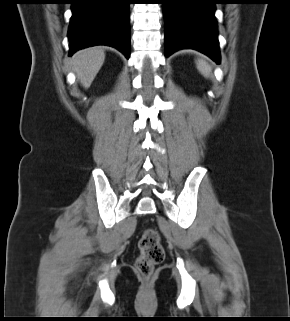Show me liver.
<instances>
[{"label": "liver", "mask_w": 290, "mask_h": 321, "mask_svg": "<svg viewBox=\"0 0 290 321\" xmlns=\"http://www.w3.org/2000/svg\"><path fill=\"white\" fill-rule=\"evenodd\" d=\"M105 60L101 47H91L76 52L72 58L73 71L81 85L89 88Z\"/></svg>", "instance_id": "6515ba94"}]
</instances>
